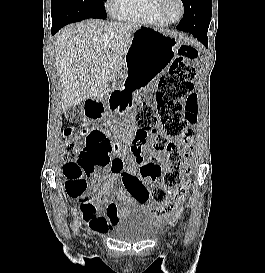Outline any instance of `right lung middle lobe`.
I'll return each mask as SVG.
<instances>
[{"mask_svg": "<svg viewBox=\"0 0 265 273\" xmlns=\"http://www.w3.org/2000/svg\"><path fill=\"white\" fill-rule=\"evenodd\" d=\"M106 0H51L52 27L88 18L106 19Z\"/></svg>", "mask_w": 265, "mask_h": 273, "instance_id": "right-lung-middle-lobe-1", "label": "right lung middle lobe"}]
</instances>
